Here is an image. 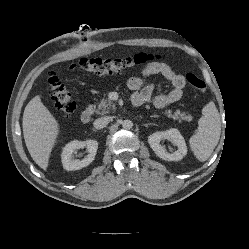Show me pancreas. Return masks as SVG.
<instances>
[{
	"instance_id": "1",
	"label": "pancreas",
	"mask_w": 249,
	"mask_h": 249,
	"mask_svg": "<svg viewBox=\"0 0 249 249\" xmlns=\"http://www.w3.org/2000/svg\"><path fill=\"white\" fill-rule=\"evenodd\" d=\"M115 109H116V107H115L114 103H112L110 100H108L106 98H103L97 104V108L95 109V112L99 115H103V114L109 113ZM164 114L170 118L179 120V122H181L183 120L184 121H191L193 119V116L187 115L185 112H181L180 110H176L173 113L172 110L168 109L164 112Z\"/></svg>"
}]
</instances>
